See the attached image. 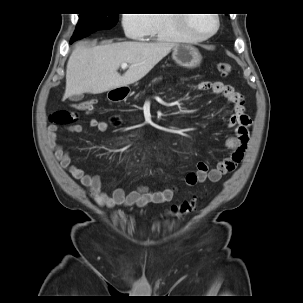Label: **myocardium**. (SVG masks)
I'll return each instance as SVG.
<instances>
[{
  "instance_id": "1",
  "label": "myocardium",
  "mask_w": 303,
  "mask_h": 303,
  "mask_svg": "<svg viewBox=\"0 0 303 303\" xmlns=\"http://www.w3.org/2000/svg\"><path fill=\"white\" fill-rule=\"evenodd\" d=\"M180 16V20H181V24L185 30V32L188 35V39L190 40H207L210 39L211 37H213L219 27H220V17L218 14H211L215 20V27L213 28L212 31H210L209 33L206 34H196L194 32L191 31L189 24H190V20H191V16L190 14H178Z\"/></svg>"
}]
</instances>
